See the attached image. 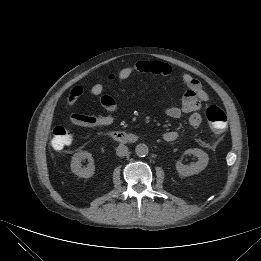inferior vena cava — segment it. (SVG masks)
<instances>
[{"mask_svg": "<svg viewBox=\"0 0 261 261\" xmlns=\"http://www.w3.org/2000/svg\"><path fill=\"white\" fill-rule=\"evenodd\" d=\"M116 154L119 157H124L128 154V147L126 145L120 144L116 149Z\"/></svg>", "mask_w": 261, "mask_h": 261, "instance_id": "obj_1", "label": "inferior vena cava"}]
</instances>
